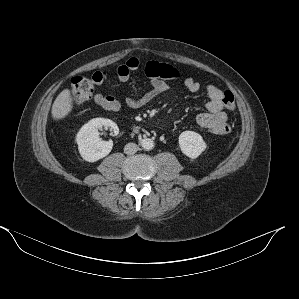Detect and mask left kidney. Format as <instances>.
Masks as SVG:
<instances>
[{"instance_id":"5707ae66","label":"left kidney","mask_w":299,"mask_h":299,"mask_svg":"<svg viewBox=\"0 0 299 299\" xmlns=\"http://www.w3.org/2000/svg\"><path fill=\"white\" fill-rule=\"evenodd\" d=\"M179 147L191 159L199 157L207 148L202 136L194 131H184L179 135Z\"/></svg>"}]
</instances>
